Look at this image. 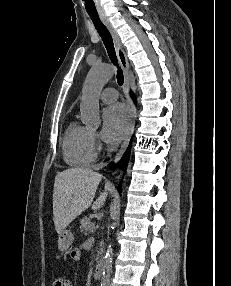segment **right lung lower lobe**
I'll return each instance as SVG.
<instances>
[{"label":"right lung lower lobe","mask_w":231,"mask_h":286,"mask_svg":"<svg viewBox=\"0 0 231 286\" xmlns=\"http://www.w3.org/2000/svg\"><path fill=\"white\" fill-rule=\"evenodd\" d=\"M130 149H131V142H130V145H129L127 151L125 152L123 158L121 159V161L118 164L124 170L126 169V166H127L128 160H129ZM112 168H114L113 165H112ZM120 188H121V185H119V187H118V190L121 192Z\"/></svg>","instance_id":"obj_1"}]
</instances>
